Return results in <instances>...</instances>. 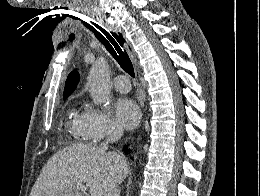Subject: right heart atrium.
<instances>
[{
  "instance_id": "right-heart-atrium-1",
  "label": "right heart atrium",
  "mask_w": 260,
  "mask_h": 196,
  "mask_svg": "<svg viewBox=\"0 0 260 196\" xmlns=\"http://www.w3.org/2000/svg\"><path fill=\"white\" fill-rule=\"evenodd\" d=\"M78 126L86 130H111L117 128L106 111L94 106H88L84 110L78 122Z\"/></svg>"
}]
</instances>
